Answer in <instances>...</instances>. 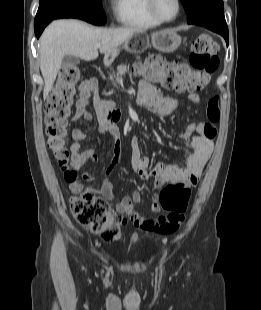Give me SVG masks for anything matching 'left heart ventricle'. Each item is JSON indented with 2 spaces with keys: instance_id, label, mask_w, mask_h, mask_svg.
<instances>
[{
  "instance_id": "obj_1",
  "label": "left heart ventricle",
  "mask_w": 261,
  "mask_h": 310,
  "mask_svg": "<svg viewBox=\"0 0 261 310\" xmlns=\"http://www.w3.org/2000/svg\"><path fill=\"white\" fill-rule=\"evenodd\" d=\"M156 9L158 13L164 18H171L176 13L175 0H156Z\"/></svg>"
}]
</instances>
